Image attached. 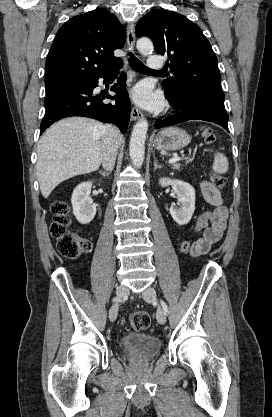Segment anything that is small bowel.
I'll return each mask as SVG.
<instances>
[{"mask_svg": "<svg viewBox=\"0 0 272 417\" xmlns=\"http://www.w3.org/2000/svg\"><path fill=\"white\" fill-rule=\"evenodd\" d=\"M200 190L205 201L214 209L201 213L194 222L193 230H203V236L190 251L193 256L206 254L211 246L222 238L228 218V210L219 190L208 181L200 183Z\"/></svg>", "mask_w": 272, "mask_h": 417, "instance_id": "c3829d8e", "label": "small bowel"}]
</instances>
